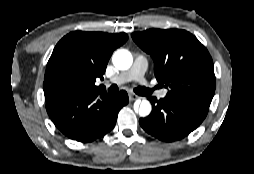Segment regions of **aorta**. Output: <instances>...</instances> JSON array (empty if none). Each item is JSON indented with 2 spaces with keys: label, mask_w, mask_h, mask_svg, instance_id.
Listing matches in <instances>:
<instances>
[{
  "label": "aorta",
  "mask_w": 254,
  "mask_h": 174,
  "mask_svg": "<svg viewBox=\"0 0 254 174\" xmlns=\"http://www.w3.org/2000/svg\"><path fill=\"white\" fill-rule=\"evenodd\" d=\"M112 62L117 69L127 70L133 63V57L129 51L121 49L113 54ZM151 109L150 102L148 100H142L137 110L141 117H146L151 113Z\"/></svg>",
  "instance_id": "aorta-1"
}]
</instances>
